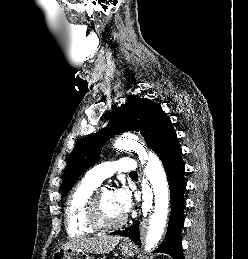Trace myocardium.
Masks as SVG:
<instances>
[{
  "label": "myocardium",
  "instance_id": "myocardium-1",
  "mask_svg": "<svg viewBox=\"0 0 248 259\" xmlns=\"http://www.w3.org/2000/svg\"><path fill=\"white\" fill-rule=\"evenodd\" d=\"M107 189H98L95 190L92 194L87 207V218L89 223L96 229H115L123 226L126 222V216H123L118 221L109 222L106 221L101 212L100 205V194L102 191Z\"/></svg>",
  "mask_w": 248,
  "mask_h": 259
}]
</instances>
